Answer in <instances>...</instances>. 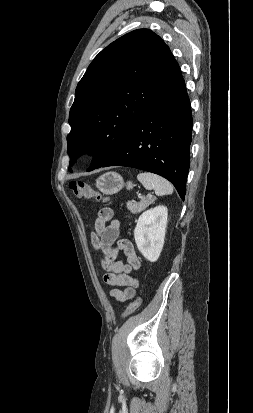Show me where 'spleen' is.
Returning <instances> with one entry per match:
<instances>
[{"label":"spleen","instance_id":"3e777b00","mask_svg":"<svg viewBox=\"0 0 253 413\" xmlns=\"http://www.w3.org/2000/svg\"><path fill=\"white\" fill-rule=\"evenodd\" d=\"M137 179L148 190H154L157 196L170 195L173 193L172 184L165 178L150 172H142Z\"/></svg>","mask_w":253,"mask_h":413}]
</instances>
